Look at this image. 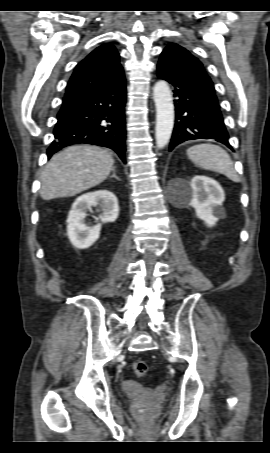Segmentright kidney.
<instances>
[{"mask_svg": "<svg viewBox=\"0 0 270 453\" xmlns=\"http://www.w3.org/2000/svg\"><path fill=\"white\" fill-rule=\"evenodd\" d=\"M98 206L102 211V223L113 222L119 214L118 200L108 190L89 192L79 196L72 205L67 218V236L78 249L90 247L100 236L101 224L91 226L86 223L87 211Z\"/></svg>", "mask_w": 270, "mask_h": 453, "instance_id": "1", "label": "right kidney"}]
</instances>
